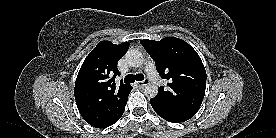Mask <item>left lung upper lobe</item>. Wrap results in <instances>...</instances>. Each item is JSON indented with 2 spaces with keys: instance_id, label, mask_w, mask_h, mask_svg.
<instances>
[{
  "instance_id": "obj_1",
  "label": "left lung upper lobe",
  "mask_w": 276,
  "mask_h": 138,
  "mask_svg": "<svg viewBox=\"0 0 276 138\" xmlns=\"http://www.w3.org/2000/svg\"><path fill=\"white\" fill-rule=\"evenodd\" d=\"M155 61L158 73L170 83L159 88L153 98L174 110L195 115L200 108L206 88V71L198 53L187 42L176 37L160 41L141 40Z\"/></svg>"
}]
</instances>
